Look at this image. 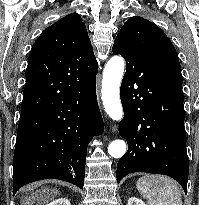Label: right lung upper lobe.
I'll use <instances>...</instances> for the list:
<instances>
[{"instance_id":"cb5924a9","label":"right lung upper lobe","mask_w":199,"mask_h":205,"mask_svg":"<svg viewBox=\"0 0 199 205\" xmlns=\"http://www.w3.org/2000/svg\"><path fill=\"white\" fill-rule=\"evenodd\" d=\"M97 73L98 63L81 16L66 15L46 28L31 49L26 85L41 83V87L24 88L20 118L53 104Z\"/></svg>"}]
</instances>
